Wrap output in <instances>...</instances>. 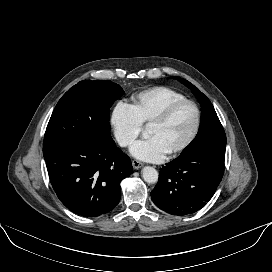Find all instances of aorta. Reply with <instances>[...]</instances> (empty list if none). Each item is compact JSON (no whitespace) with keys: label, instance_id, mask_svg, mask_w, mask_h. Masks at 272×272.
<instances>
[{"label":"aorta","instance_id":"aorta-1","mask_svg":"<svg viewBox=\"0 0 272 272\" xmlns=\"http://www.w3.org/2000/svg\"><path fill=\"white\" fill-rule=\"evenodd\" d=\"M142 177L145 182L154 184L158 181V172L155 168L146 166L142 169Z\"/></svg>","mask_w":272,"mask_h":272}]
</instances>
